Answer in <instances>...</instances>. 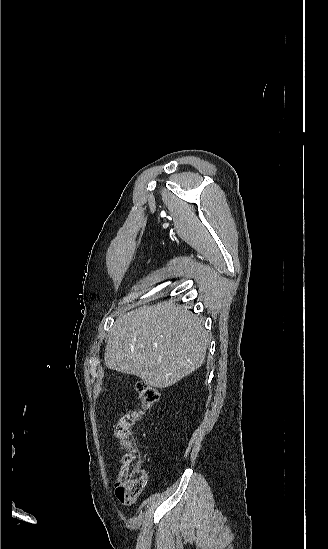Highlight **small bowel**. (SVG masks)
Segmentation results:
<instances>
[{
    "label": "small bowel",
    "instance_id": "c3829d8e",
    "mask_svg": "<svg viewBox=\"0 0 328 549\" xmlns=\"http://www.w3.org/2000/svg\"><path fill=\"white\" fill-rule=\"evenodd\" d=\"M109 448H110V445H108V446L106 447V449H109Z\"/></svg>",
    "mask_w": 328,
    "mask_h": 549
}]
</instances>
